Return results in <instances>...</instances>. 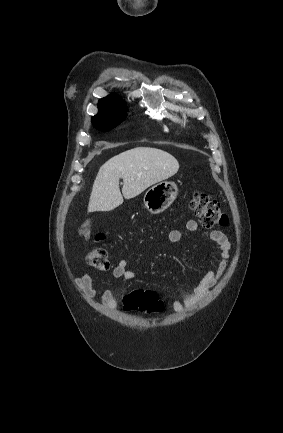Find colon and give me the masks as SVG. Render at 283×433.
<instances>
[{
	"instance_id": "1",
	"label": "colon",
	"mask_w": 283,
	"mask_h": 433,
	"mask_svg": "<svg viewBox=\"0 0 283 433\" xmlns=\"http://www.w3.org/2000/svg\"><path fill=\"white\" fill-rule=\"evenodd\" d=\"M189 205L200 223L207 228L224 227L229 223L220 204L206 193L194 192ZM85 262L87 266L98 271H107L110 268L108 253L103 246L91 248L85 256ZM124 308L128 311L157 313L163 310V302L153 291L136 290L124 297Z\"/></svg>"
}]
</instances>
